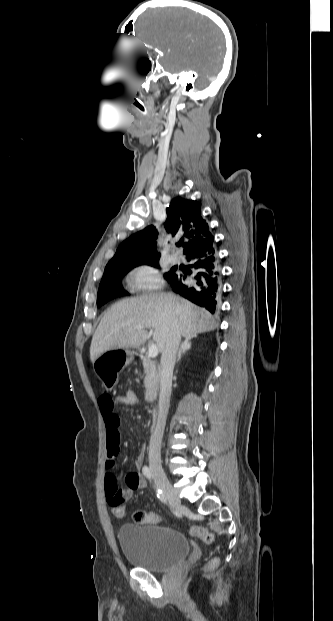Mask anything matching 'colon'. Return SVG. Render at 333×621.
Wrapping results in <instances>:
<instances>
[{"label":"colon","instance_id":"colon-1","mask_svg":"<svg viewBox=\"0 0 333 621\" xmlns=\"http://www.w3.org/2000/svg\"><path fill=\"white\" fill-rule=\"evenodd\" d=\"M121 403L128 407H135L140 402V397L138 392L129 387L122 395H121ZM113 514L117 517H122L124 515V508L122 506H117L112 509ZM132 519L135 523L138 524H154L160 521V517L152 512H146L143 510H137L133 513ZM191 534L195 537L200 538L206 543H212L214 540V535L208 529L202 526H193L191 528ZM218 565V560L216 558L212 559L206 566L205 570L211 571L215 569Z\"/></svg>","mask_w":333,"mask_h":621}]
</instances>
